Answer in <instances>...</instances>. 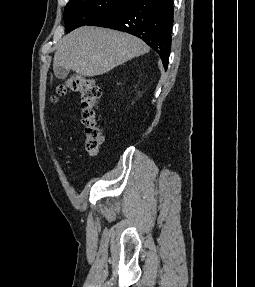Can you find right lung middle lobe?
Returning a JSON list of instances; mask_svg holds the SVG:
<instances>
[{"mask_svg":"<svg viewBox=\"0 0 255 287\" xmlns=\"http://www.w3.org/2000/svg\"><path fill=\"white\" fill-rule=\"evenodd\" d=\"M127 0H69L64 10L66 33L89 25L99 16L125 3Z\"/></svg>","mask_w":255,"mask_h":287,"instance_id":"dd1d6c3e","label":"right lung middle lobe"}]
</instances>
